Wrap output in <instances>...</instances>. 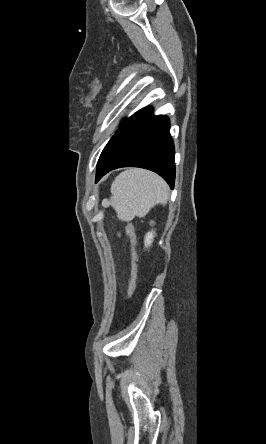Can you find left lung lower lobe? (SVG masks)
I'll return each instance as SVG.
<instances>
[{
	"instance_id": "1",
	"label": "left lung lower lobe",
	"mask_w": 266,
	"mask_h": 444,
	"mask_svg": "<svg viewBox=\"0 0 266 444\" xmlns=\"http://www.w3.org/2000/svg\"><path fill=\"white\" fill-rule=\"evenodd\" d=\"M174 144L165 116H154L145 107L126 119L103 149L97 163L96 182L111 170L140 167L162 176L174 188Z\"/></svg>"
}]
</instances>
